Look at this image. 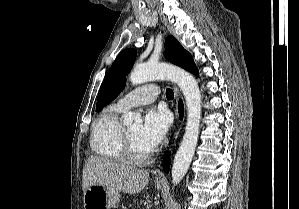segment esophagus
I'll return each instance as SVG.
<instances>
[{
	"label": "esophagus",
	"instance_id": "obj_1",
	"mask_svg": "<svg viewBox=\"0 0 299 209\" xmlns=\"http://www.w3.org/2000/svg\"><path fill=\"white\" fill-rule=\"evenodd\" d=\"M174 91H175V109H174V113H175V118H176V122H177V129H176L175 137H174V142H175L176 138L178 136V133L180 132V130L182 128L183 121L180 120L178 109H177V103H178L179 98H181V93H180L177 86L174 87ZM155 179L160 180V181L164 180V174L161 170H158L155 173Z\"/></svg>",
	"mask_w": 299,
	"mask_h": 209
}]
</instances>
